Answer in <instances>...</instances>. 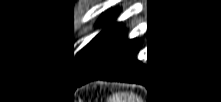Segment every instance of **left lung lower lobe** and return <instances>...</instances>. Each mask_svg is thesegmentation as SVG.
Listing matches in <instances>:
<instances>
[{
  "label": "left lung lower lobe",
  "instance_id": "0a47b994",
  "mask_svg": "<svg viewBox=\"0 0 221 102\" xmlns=\"http://www.w3.org/2000/svg\"><path fill=\"white\" fill-rule=\"evenodd\" d=\"M141 41L128 39L124 28L113 36L94 61L73 79L80 86L93 80H108L144 84L146 66L139 60Z\"/></svg>",
  "mask_w": 221,
  "mask_h": 102
}]
</instances>
